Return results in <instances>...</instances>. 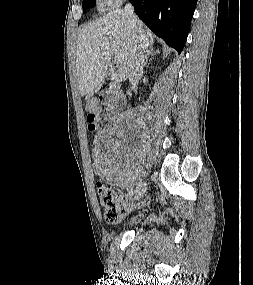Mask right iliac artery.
Returning a JSON list of instances; mask_svg holds the SVG:
<instances>
[{
  "label": "right iliac artery",
  "instance_id": "82829eb1",
  "mask_svg": "<svg viewBox=\"0 0 253 285\" xmlns=\"http://www.w3.org/2000/svg\"><path fill=\"white\" fill-rule=\"evenodd\" d=\"M133 193H134L133 188H131V189L128 191V195H129V196H132Z\"/></svg>",
  "mask_w": 253,
  "mask_h": 285
}]
</instances>
